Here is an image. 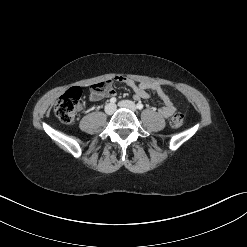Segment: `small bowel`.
Returning a JSON list of instances; mask_svg holds the SVG:
<instances>
[{"label":"small bowel","instance_id":"small-bowel-1","mask_svg":"<svg viewBox=\"0 0 247 247\" xmlns=\"http://www.w3.org/2000/svg\"><path fill=\"white\" fill-rule=\"evenodd\" d=\"M114 82L122 83L133 89L134 97L138 100L149 98V93L147 92V90L155 92L163 103V106L159 109V114L164 118H169L174 114L175 106L170 97L166 94V92L160 85L145 82L139 83L134 81L133 79L123 76H118L112 81H107V87L101 92L91 94L90 99L92 101H99L104 97L116 96L117 93L113 87Z\"/></svg>","mask_w":247,"mask_h":247}]
</instances>
